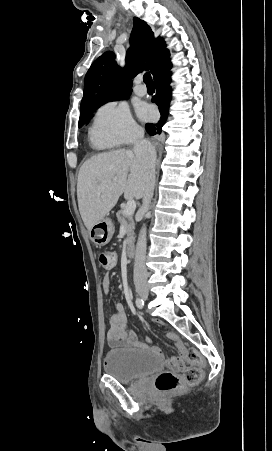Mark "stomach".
Returning a JSON list of instances; mask_svg holds the SVG:
<instances>
[{
    "label": "stomach",
    "mask_w": 272,
    "mask_h": 451,
    "mask_svg": "<svg viewBox=\"0 0 272 451\" xmlns=\"http://www.w3.org/2000/svg\"><path fill=\"white\" fill-rule=\"evenodd\" d=\"M114 233V224L110 218H102L89 229V237L95 245H106Z\"/></svg>",
    "instance_id": "obj_1"
}]
</instances>
